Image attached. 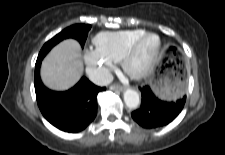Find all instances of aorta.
Masks as SVG:
<instances>
[{"mask_svg": "<svg viewBox=\"0 0 225 155\" xmlns=\"http://www.w3.org/2000/svg\"><path fill=\"white\" fill-rule=\"evenodd\" d=\"M124 102L128 108L136 109L140 104L138 92L133 89H127L124 92Z\"/></svg>", "mask_w": 225, "mask_h": 155, "instance_id": "aorta-1", "label": "aorta"}]
</instances>
